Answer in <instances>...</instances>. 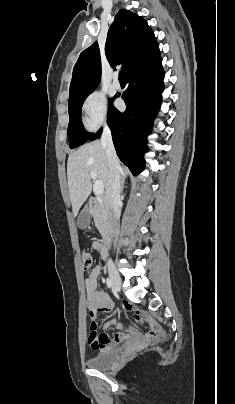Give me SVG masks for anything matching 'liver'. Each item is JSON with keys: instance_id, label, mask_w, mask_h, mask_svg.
I'll return each mask as SVG.
<instances>
[{"instance_id": "1", "label": "liver", "mask_w": 235, "mask_h": 404, "mask_svg": "<svg viewBox=\"0 0 235 404\" xmlns=\"http://www.w3.org/2000/svg\"><path fill=\"white\" fill-rule=\"evenodd\" d=\"M91 172L96 173L97 179L103 182L107 192L110 167L105 149L99 140L82 145L68 157V188L74 216H77L81 206L92 192ZM120 175H126V170L121 166Z\"/></svg>"}]
</instances>
